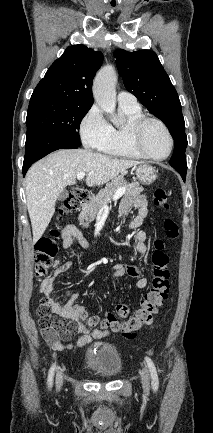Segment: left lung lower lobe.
Returning <instances> with one entry per match:
<instances>
[{"instance_id": "0a47b994", "label": "left lung lower lobe", "mask_w": 213, "mask_h": 433, "mask_svg": "<svg viewBox=\"0 0 213 433\" xmlns=\"http://www.w3.org/2000/svg\"><path fill=\"white\" fill-rule=\"evenodd\" d=\"M177 171L180 173V175L182 176L183 181L185 182L186 172L187 171H183V170H177Z\"/></svg>"}]
</instances>
